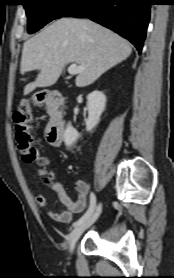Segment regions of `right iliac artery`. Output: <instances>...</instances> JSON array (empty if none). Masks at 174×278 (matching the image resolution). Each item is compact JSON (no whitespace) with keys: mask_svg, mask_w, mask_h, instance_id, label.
<instances>
[{"mask_svg":"<svg viewBox=\"0 0 174 278\" xmlns=\"http://www.w3.org/2000/svg\"><path fill=\"white\" fill-rule=\"evenodd\" d=\"M96 206V197L94 195V193L90 194V205L88 210L85 212V214L76 222H74L73 227H76L80 224H82L83 222H85L93 213L94 209Z\"/></svg>","mask_w":174,"mask_h":278,"instance_id":"82829eb1","label":"right iliac artery"}]
</instances>
